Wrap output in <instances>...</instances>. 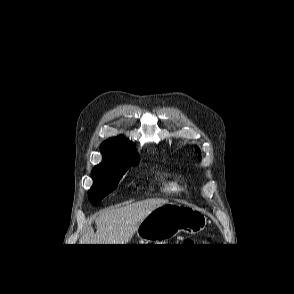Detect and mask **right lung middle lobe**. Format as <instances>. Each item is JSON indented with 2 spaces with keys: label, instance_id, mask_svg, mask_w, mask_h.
I'll return each mask as SVG.
<instances>
[{
  "label": "right lung middle lobe",
  "instance_id": "dd1d6c3e",
  "mask_svg": "<svg viewBox=\"0 0 294 294\" xmlns=\"http://www.w3.org/2000/svg\"><path fill=\"white\" fill-rule=\"evenodd\" d=\"M135 160H103L92 170L93 186L89 190L90 199L94 203L100 202L106 195L116 189L119 180L126 171L137 165Z\"/></svg>",
  "mask_w": 294,
  "mask_h": 294
}]
</instances>
